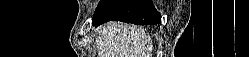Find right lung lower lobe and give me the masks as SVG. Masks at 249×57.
Segmentation results:
<instances>
[{"label": "right lung lower lobe", "instance_id": "right-lung-lower-lobe-1", "mask_svg": "<svg viewBox=\"0 0 249 57\" xmlns=\"http://www.w3.org/2000/svg\"><path fill=\"white\" fill-rule=\"evenodd\" d=\"M110 20L160 26L161 15L151 0H101L93 15V25L98 26Z\"/></svg>", "mask_w": 249, "mask_h": 57}]
</instances>
